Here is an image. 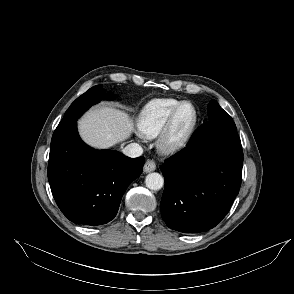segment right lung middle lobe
<instances>
[{
	"label": "right lung middle lobe",
	"mask_w": 294,
	"mask_h": 294,
	"mask_svg": "<svg viewBox=\"0 0 294 294\" xmlns=\"http://www.w3.org/2000/svg\"><path fill=\"white\" fill-rule=\"evenodd\" d=\"M93 104L95 103L91 102L89 93L85 92L71 104L59 125L76 121Z\"/></svg>",
	"instance_id": "dd1d6c3e"
}]
</instances>
